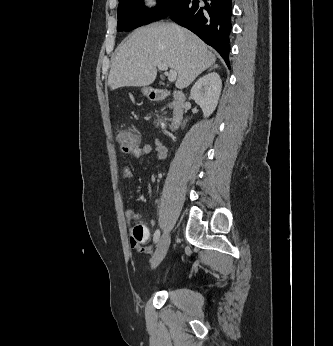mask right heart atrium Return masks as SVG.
I'll use <instances>...</instances> for the list:
<instances>
[{
    "label": "right heart atrium",
    "instance_id": "right-heart-atrium-1",
    "mask_svg": "<svg viewBox=\"0 0 333 346\" xmlns=\"http://www.w3.org/2000/svg\"><path fill=\"white\" fill-rule=\"evenodd\" d=\"M157 2V0H145V3L149 6H155Z\"/></svg>",
    "mask_w": 333,
    "mask_h": 346
}]
</instances>
